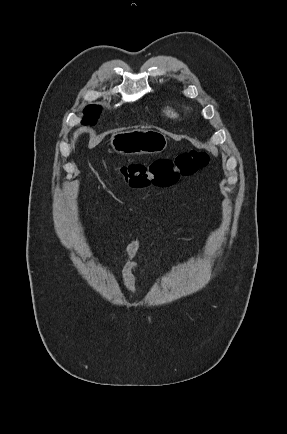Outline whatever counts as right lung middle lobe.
<instances>
[{
    "mask_svg": "<svg viewBox=\"0 0 287 434\" xmlns=\"http://www.w3.org/2000/svg\"><path fill=\"white\" fill-rule=\"evenodd\" d=\"M100 111L101 108L96 105H90L86 107L84 110L85 117L83 119V123L94 125L96 123Z\"/></svg>",
    "mask_w": 287,
    "mask_h": 434,
    "instance_id": "obj_1",
    "label": "right lung middle lobe"
}]
</instances>
